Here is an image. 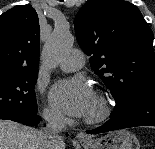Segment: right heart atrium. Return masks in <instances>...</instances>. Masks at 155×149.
I'll list each match as a JSON object with an SVG mask.
<instances>
[{
  "instance_id": "d8ad5b80",
  "label": "right heart atrium",
  "mask_w": 155,
  "mask_h": 149,
  "mask_svg": "<svg viewBox=\"0 0 155 149\" xmlns=\"http://www.w3.org/2000/svg\"><path fill=\"white\" fill-rule=\"evenodd\" d=\"M43 116L48 122L53 124H62L66 120L65 116L59 109L51 106H46L43 109Z\"/></svg>"
}]
</instances>
